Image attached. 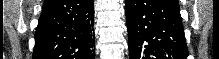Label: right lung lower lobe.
<instances>
[{
    "label": "right lung lower lobe",
    "mask_w": 219,
    "mask_h": 59,
    "mask_svg": "<svg viewBox=\"0 0 219 59\" xmlns=\"http://www.w3.org/2000/svg\"><path fill=\"white\" fill-rule=\"evenodd\" d=\"M94 0H45L33 59H92Z\"/></svg>",
    "instance_id": "right-lung-lower-lobe-1"
}]
</instances>
